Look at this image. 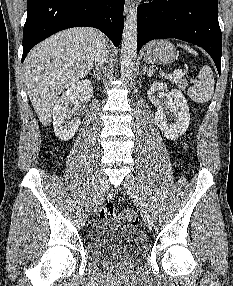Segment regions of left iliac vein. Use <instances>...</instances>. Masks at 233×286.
Masks as SVG:
<instances>
[{"instance_id": "obj_1", "label": "left iliac vein", "mask_w": 233, "mask_h": 286, "mask_svg": "<svg viewBox=\"0 0 233 286\" xmlns=\"http://www.w3.org/2000/svg\"><path fill=\"white\" fill-rule=\"evenodd\" d=\"M124 186L127 190V193L130 196H132L137 201L138 205L140 206L141 211H142V218H143V222H144L145 226L148 229H151L152 228V220H151V216H150L148 207L143 201V198L141 196L138 184H137V182H136V180L132 174H128L125 177Z\"/></svg>"}]
</instances>
